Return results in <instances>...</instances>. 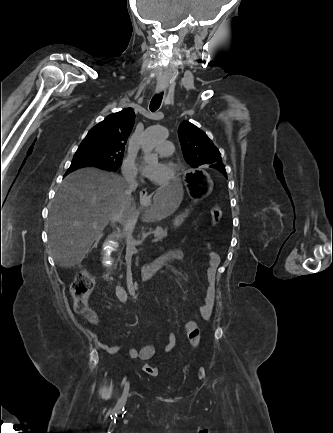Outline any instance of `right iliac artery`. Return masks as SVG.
<instances>
[{"label": "right iliac artery", "mask_w": 333, "mask_h": 433, "mask_svg": "<svg viewBox=\"0 0 333 433\" xmlns=\"http://www.w3.org/2000/svg\"><path fill=\"white\" fill-rule=\"evenodd\" d=\"M126 379H127V377H124L122 384L126 383ZM128 391H129V388L124 389L123 394L117 403V406H116L117 408H122L124 406V404L126 403Z\"/></svg>", "instance_id": "1"}]
</instances>
